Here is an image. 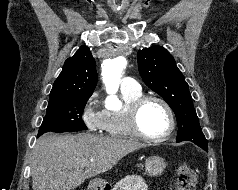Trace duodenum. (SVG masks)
Instances as JSON below:
<instances>
[{
    "label": "duodenum",
    "mask_w": 238,
    "mask_h": 190,
    "mask_svg": "<svg viewBox=\"0 0 238 190\" xmlns=\"http://www.w3.org/2000/svg\"><path fill=\"white\" fill-rule=\"evenodd\" d=\"M92 190H104V187L101 184L93 183L92 184Z\"/></svg>",
    "instance_id": "duodenum-1"
}]
</instances>
